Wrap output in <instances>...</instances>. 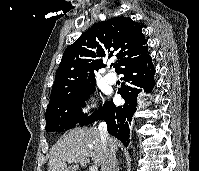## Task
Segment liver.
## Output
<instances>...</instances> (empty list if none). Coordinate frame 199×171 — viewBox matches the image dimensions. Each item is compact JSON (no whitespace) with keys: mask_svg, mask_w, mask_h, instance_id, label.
Here are the masks:
<instances>
[{"mask_svg":"<svg viewBox=\"0 0 199 171\" xmlns=\"http://www.w3.org/2000/svg\"><path fill=\"white\" fill-rule=\"evenodd\" d=\"M115 151L121 143L110 137ZM108 142L96 128H74L66 132L52 149L48 171H77L79 160L91 158L96 166H104ZM68 164H73L67 166Z\"/></svg>","mask_w":199,"mask_h":171,"instance_id":"obj_1","label":"liver"}]
</instances>
